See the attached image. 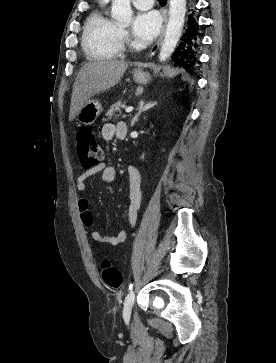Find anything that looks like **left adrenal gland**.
<instances>
[{
    "label": "left adrenal gland",
    "instance_id": "a2214340",
    "mask_svg": "<svg viewBox=\"0 0 276 363\" xmlns=\"http://www.w3.org/2000/svg\"><path fill=\"white\" fill-rule=\"evenodd\" d=\"M156 104H157V102H147V103H145L144 101H141L139 103L138 113L134 116V118L131 121V127L134 126L135 122L138 121L139 116L143 112L148 111L149 109L153 108Z\"/></svg>",
    "mask_w": 276,
    "mask_h": 363
}]
</instances>
